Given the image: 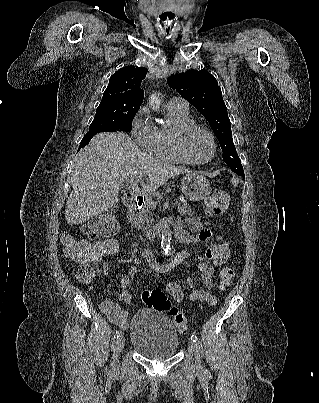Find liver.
Wrapping results in <instances>:
<instances>
[{
	"mask_svg": "<svg viewBox=\"0 0 319 403\" xmlns=\"http://www.w3.org/2000/svg\"><path fill=\"white\" fill-rule=\"evenodd\" d=\"M189 172L153 158L123 132L99 133L75 158L65 219L77 225L104 213L118 202L123 182L145 176L143 188L153 192L171 177Z\"/></svg>",
	"mask_w": 319,
	"mask_h": 403,
	"instance_id": "obj_1",
	"label": "liver"
}]
</instances>
